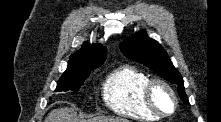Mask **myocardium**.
Here are the masks:
<instances>
[{"label": "myocardium", "instance_id": "obj_1", "mask_svg": "<svg viewBox=\"0 0 221 122\" xmlns=\"http://www.w3.org/2000/svg\"><path fill=\"white\" fill-rule=\"evenodd\" d=\"M163 87L164 89H166L169 94L171 95L172 99H173V109L170 112H164L162 111L157 104L155 103L154 100V90L156 87ZM143 97H144V101L147 105V107L156 115H158L159 117H169L172 116L178 108L179 105V100L177 97V94L175 92V90L173 89V87L165 80L161 79V78H152L149 79L148 82L146 83V85L144 86L143 89Z\"/></svg>", "mask_w": 221, "mask_h": 122}]
</instances>
